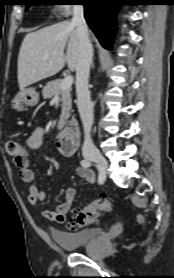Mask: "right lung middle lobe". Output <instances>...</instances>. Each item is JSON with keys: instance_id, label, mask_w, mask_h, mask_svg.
<instances>
[{"instance_id": "1", "label": "right lung middle lobe", "mask_w": 174, "mask_h": 278, "mask_svg": "<svg viewBox=\"0 0 174 278\" xmlns=\"http://www.w3.org/2000/svg\"><path fill=\"white\" fill-rule=\"evenodd\" d=\"M37 0H28V2L30 3H26V8L30 7L31 5H36V3H33V2H36Z\"/></svg>"}]
</instances>
